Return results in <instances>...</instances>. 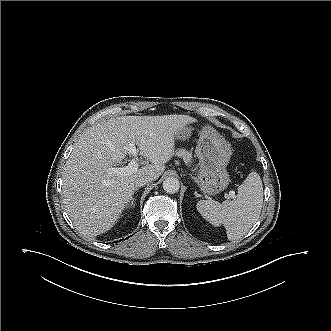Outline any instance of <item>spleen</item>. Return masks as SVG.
I'll return each mask as SVG.
<instances>
[{
  "label": "spleen",
  "instance_id": "spleen-1",
  "mask_svg": "<svg viewBox=\"0 0 331 331\" xmlns=\"http://www.w3.org/2000/svg\"><path fill=\"white\" fill-rule=\"evenodd\" d=\"M263 185L259 175L251 172L238 187L235 199L219 203L215 200H200L198 212L214 226L226 228L227 237L237 240L243 237L256 221L262 203Z\"/></svg>",
  "mask_w": 331,
  "mask_h": 331
}]
</instances>
